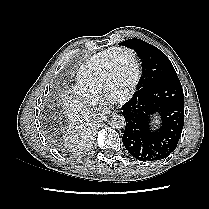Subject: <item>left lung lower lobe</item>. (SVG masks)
<instances>
[{
	"label": "left lung lower lobe",
	"mask_w": 209,
	"mask_h": 209,
	"mask_svg": "<svg viewBox=\"0 0 209 209\" xmlns=\"http://www.w3.org/2000/svg\"><path fill=\"white\" fill-rule=\"evenodd\" d=\"M122 110L126 121L122 141L134 158L157 161L175 150L184 125V94L177 76L138 89ZM155 114L160 124L154 129L151 118Z\"/></svg>",
	"instance_id": "1"
}]
</instances>
